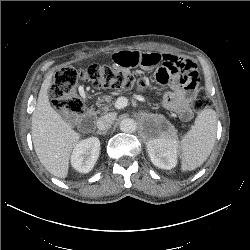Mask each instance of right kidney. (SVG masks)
<instances>
[{
  "mask_svg": "<svg viewBox=\"0 0 250 250\" xmlns=\"http://www.w3.org/2000/svg\"><path fill=\"white\" fill-rule=\"evenodd\" d=\"M100 152V141L97 137L81 140L71 155L72 167L81 173H88L94 167Z\"/></svg>",
  "mask_w": 250,
  "mask_h": 250,
  "instance_id": "obj_1",
  "label": "right kidney"
}]
</instances>
